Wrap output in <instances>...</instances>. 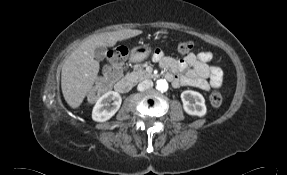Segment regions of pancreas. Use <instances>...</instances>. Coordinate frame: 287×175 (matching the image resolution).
I'll return each mask as SVG.
<instances>
[{"instance_id": "obj_1", "label": "pancreas", "mask_w": 287, "mask_h": 175, "mask_svg": "<svg viewBox=\"0 0 287 175\" xmlns=\"http://www.w3.org/2000/svg\"><path fill=\"white\" fill-rule=\"evenodd\" d=\"M127 77L133 81L143 80L149 77V73L145 71L142 67H137L133 72L127 75Z\"/></svg>"}]
</instances>
